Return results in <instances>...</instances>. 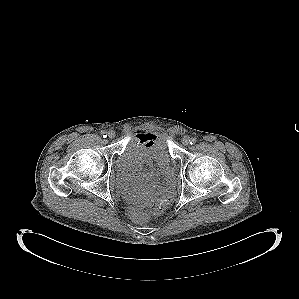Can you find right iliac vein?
<instances>
[{
  "label": "right iliac vein",
  "instance_id": "1",
  "mask_svg": "<svg viewBox=\"0 0 299 299\" xmlns=\"http://www.w3.org/2000/svg\"><path fill=\"white\" fill-rule=\"evenodd\" d=\"M108 137L111 138V139L114 138L115 137V132L114 131H109Z\"/></svg>",
  "mask_w": 299,
  "mask_h": 299
}]
</instances>
